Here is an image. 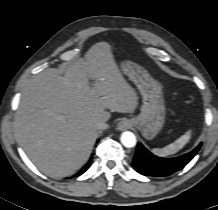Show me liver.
Listing matches in <instances>:
<instances>
[{"label":"liver","instance_id":"6515ba94","mask_svg":"<svg viewBox=\"0 0 218 210\" xmlns=\"http://www.w3.org/2000/svg\"><path fill=\"white\" fill-rule=\"evenodd\" d=\"M137 105L110 45L100 42L64 75L47 69L27 83L15 118L18 141L40 171L54 178L70 176L89 159L96 123L110 118L107 110L132 113Z\"/></svg>","mask_w":218,"mask_h":210}]
</instances>
